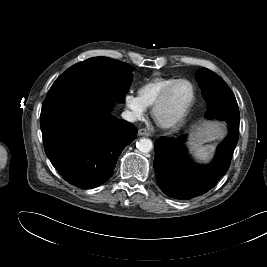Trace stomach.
<instances>
[{
	"label": "stomach",
	"instance_id": "0dacf381",
	"mask_svg": "<svg viewBox=\"0 0 267 267\" xmlns=\"http://www.w3.org/2000/svg\"><path fill=\"white\" fill-rule=\"evenodd\" d=\"M224 133V125L221 122H204L199 125L191 134L190 145L214 140Z\"/></svg>",
	"mask_w": 267,
	"mask_h": 267
}]
</instances>
